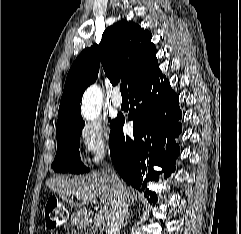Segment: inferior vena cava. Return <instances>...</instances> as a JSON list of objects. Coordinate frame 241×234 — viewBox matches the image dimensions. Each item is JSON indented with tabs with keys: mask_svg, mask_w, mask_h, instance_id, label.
<instances>
[{
	"mask_svg": "<svg viewBox=\"0 0 241 234\" xmlns=\"http://www.w3.org/2000/svg\"><path fill=\"white\" fill-rule=\"evenodd\" d=\"M111 178L116 186V200L108 218L106 234H120V229L128 210V202L126 200V190L123 182L119 179L117 174L112 171Z\"/></svg>",
	"mask_w": 241,
	"mask_h": 234,
	"instance_id": "obj_1",
	"label": "inferior vena cava"
}]
</instances>
